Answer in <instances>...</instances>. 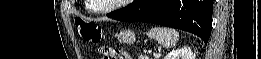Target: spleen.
I'll return each mask as SVG.
<instances>
[{
  "mask_svg": "<svg viewBox=\"0 0 261 59\" xmlns=\"http://www.w3.org/2000/svg\"><path fill=\"white\" fill-rule=\"evenodd\" d=\"M147 35L158 43L163 44L166 48L175 46L179 39V33L175 29L165 27L151 28Z\"/></svg>",
  "mask_w": 261,
  "mask_h": 59,
  "instance_id": "spleen-1",
  "label": "spleen"
}]
</instances>
